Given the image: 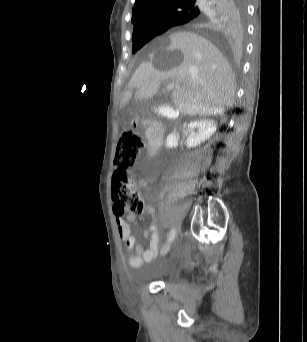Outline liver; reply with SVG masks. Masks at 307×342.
<instances>
[{"mask_svg":"<svg viewBox=\"0 0 307 342\" xmlns=\"http://www.w3.org/2000/svg\"><path fill=\"white\" fill-rule=\"evenodd\" d=\"M157 50H150L144 62L135 70L122 104L137 95L156 96L161 80H173L176 88L172 100L180 114L215 116L231 106L235 80L227 60L220 50L192 32L171 34Z\"/></svg>","mask_w":307,"mask_h":342,"instance_id":"6515ba94","label":"liver"}]
</instances>
